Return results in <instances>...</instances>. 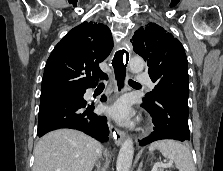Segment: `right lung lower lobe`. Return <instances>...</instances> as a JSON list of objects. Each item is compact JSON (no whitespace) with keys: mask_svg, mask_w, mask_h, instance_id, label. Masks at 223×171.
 Returning a JSON list of instances; mask_svg holds the SVG:
<instances>
[{"mask_svg":"<svg viewBox=\"0 0 223 171\" xmlns=\"http://www.w3.org/2000/svg\"><path fill=\"white\" fill-rule=\"evenodd\" d=\"M104 78L107 79V75ZM96 85L97 83L91 87ZM85 91L80 95L53 96L40 100L38 137L59 128H72L83 131L101 142L107 141V119L93 112V102L83 99ZM101 101H106V97L102 96Z\"/></svg>","mask_w":223,"mask_h":171,"instance_id":"obj_1","label":"right lung lower lobe"}]
</instances>
